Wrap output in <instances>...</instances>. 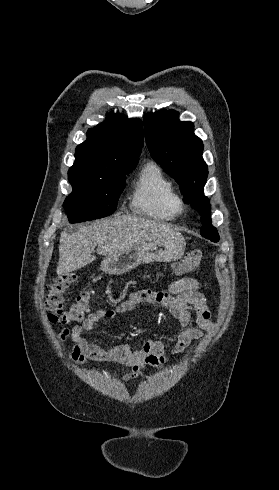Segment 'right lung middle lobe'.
Here are the masks:
<instances>
[{
    "mask_svg": "<svg viewBox=\"0 0 279 490\" xmlns=\"http://www.w3.org/2000/svg\"><path fill=\"white\" fill-rule=\"evenodd\" d=\"M135 166L122 167L106 175L68 173L73 191L64 208L70 223H78L111 215L125 188V178Z\"/></svg>",
    "mask_w": 279,
    "mask_h": 490,
    "instance_id": "1",
    "label": "right lung middle lobe"
}]
</instances>
